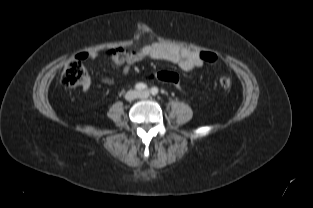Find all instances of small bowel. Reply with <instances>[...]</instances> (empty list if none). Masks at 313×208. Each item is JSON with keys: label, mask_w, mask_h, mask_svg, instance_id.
<instances>
[{"label": "small bowel", "mask_w": 313, "mask_h": 208, "mask_svg": "<svg viewBox=\"0 0 313 208\" xmlns=\"http://www.w3.org/2000/svg\"><path fill=\"white\" fill-rule=\"evenodd\" d=\"M108 56L114 67H123L124 73H128L130 67L144 59H153L170 62L177 65L183 71H190L203 66L204 61L200 58V53L190 49H180L162 43H152L136 50H125L124 48H113L108 51ZM96 51L85 52L79 55L80 59H96ZM90 82L83 86V91L87 92Z\"/></svg>", "instance_id": "small-bowel-1"}]
</instances>
